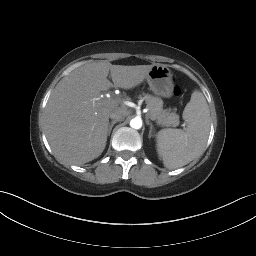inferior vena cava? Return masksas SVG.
Instances as JSON below:
<instances>
[{
    "mask_svg": "<svg viewBox=\"0 0 256 256\" xmlns=\"http://www.w3.org/2000/svg\"><path fill=\"white\" fill-rule=\"evenodd\" d=\"M110 118L116 121H122L124 119V115L119 110H114L110 113Z\"/></svg>",
    "mask_w": 256,
    "mask_h": 256,
    "instance_id": "inferior-vena-cava-1",
    "label": "inferior vena cava"
}]
</instances>
